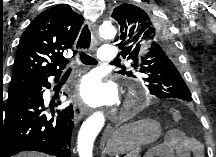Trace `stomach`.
<instances>
[{
  "label": "stomach",
  "mask_w": 216,
  "mask_h": 157,
  "mask_svg": "<svg viewBox=\"0 0 216 157\" xmlns=\"http://www.w3.org/2000/svg\"><path fill=\"white\" fill-rule=\"evenodd\" d=\"M160 135L161 126L157 121H138L115 130L107 138L105 150L109 155L124 154L143 144L154 142Z\"/></svg>",
  "instance_id": "1"
}]
</instances>
